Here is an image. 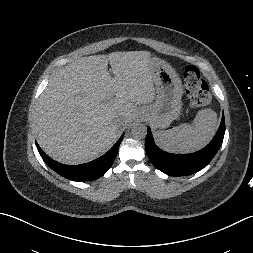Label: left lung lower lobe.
Here are the masks:
<instances>
[{
    "mask_svg": "<svg viewBox=\"0 0 253 253\" xmlns=\"http://www.w3.org/2000/svg\"><path fill=\"white\" fill-rule=\"evenodd\" d=\"M224 134L223 114L217 133L206 147L195 153L175 155L160 150L154 143L150 128H147L145 149L152 164L160 171L171 176H186L202 170L210 163L223 142Z\"/></svg>",
    "mask_w": 253,
    "mask_h": 253,
    "instance_id": "left-lung-lower-lobe-1",
    "label": "left lung lower lobe"
}]
</instances>
